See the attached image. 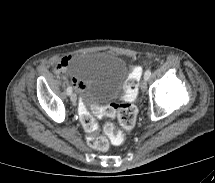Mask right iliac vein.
<instances>
[{
  "instance_id": "obj_1",
  "label": "right iliac vein",
  "mask_w": 215,
  "mask_h": 183,
  "mask_svg": "<svg viewBox=\"0 0 215 183\" xmlns=\"http://www.w3.org/2000/svg\"><path fill=\"white\" fill-rule=\"evenodd\" d=\"M70 99H71V102H72L73 104H76V102H77V96H76L75 93H72V94H71Z\"/></svg>"
}]
</instances>
